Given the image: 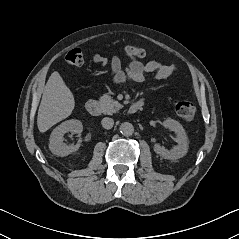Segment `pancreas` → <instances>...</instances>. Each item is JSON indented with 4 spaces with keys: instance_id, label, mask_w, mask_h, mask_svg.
Returning a JSON list of instances; mask_svg holds the SVG:
<instances>
[{
    "instance_id": "cf45deb5",
    "label": "pancreas",
    "mask_w": 239,
    "mask_h": 239,
    "mask_svg": "<svg viewBox=\"0 0 239 239\" xmlns=\"http://www.w3.org/2000/svg\"><path fill=\"white\" fill-rule=\"evenodd\" d=\"M99 102L104 114L111 115L122 108V105L118 101L112 99L110 95H103L100 97Z\"/></svg>"
}]
</instances>
